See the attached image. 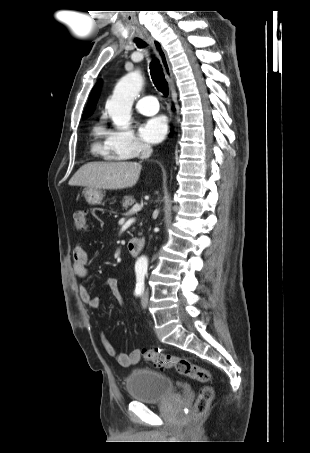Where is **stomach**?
Listing matches in <instances>:
<instances>
[{
    "label": "stomach",
    "mask_w": 310,
    "mask_h": 453,
    "mask_svg": "<svg viewBox=\"0 0 310 453\" xmlns=\"http://www.w3.org/2000/svg\"><path fill=\"white\" fill-rule=\"evenodd\" d=\"M83 195L85 197L86 202L90 205L101 204L103 199V193L100 189L86 188L83 191Z\"/></svg>",
    "instance_id": "0dacf381"
}]
</instances>
